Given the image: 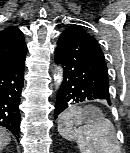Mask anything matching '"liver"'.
I'll use <instances>...</instances> for the list:
<instances>
[{
    "label": "liver",
    "mask_w": 130,
    "mask_h": 153,
    "mask_svg": "<svg viewBox=\"0 0 130 153\" xmlns=\"http://www.w3.org/2000/svg\"><path fill=\"white\" fill-rule=\"evenodd\" d=\"M11 138L9 133L0 127V151L8 145L10 142Z\"/></svg>",
    "instance_id": "liver-1"
}]
</instances>
